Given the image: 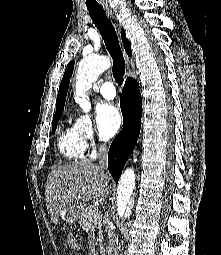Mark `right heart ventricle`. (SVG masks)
Here are the masks:
<instances>
[{"label": "right heart ventricle", "instance_id": "obj_1", "mask_svg": "<svg viewBox=\"0 0 221 255\" xmlns=\"http://www.w3.org/2000/svg\"><path fill=\"white\" fill-rule=\"evenodd\" d=\"M58 149L67 159H81L86 151V145L79 135L76 125L66 126L58 137Z\"/></svg>", "mask_w": 221, "mask_h": 255}]
</instances>
